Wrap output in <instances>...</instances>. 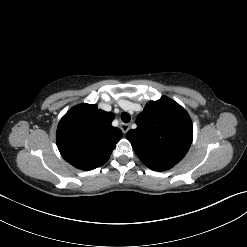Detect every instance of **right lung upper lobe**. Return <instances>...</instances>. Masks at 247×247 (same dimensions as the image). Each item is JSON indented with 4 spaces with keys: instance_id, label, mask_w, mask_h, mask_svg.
<instances>
[{
    "instance_id": "right-lung-upper-lobe-1",
    "label": "right lung upper lobe",
    "mask_w": 247,
    "mask_h": 247,
    "mask_svg": "<svg viewBox=\"0 0 247 247\" xmlns=\"http://www.w3.org/2000/svg\"><path fill=\"white\" fill-rule=\"evenodd\" d=\"M114 115L81 104L70 109L57 128V146L63 158L82 170L95 169L109 159L123 134L112 127Z\"/></svg>"
}]
</instances>
